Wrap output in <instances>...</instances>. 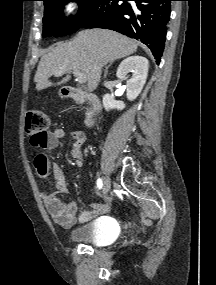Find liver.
Masks as SVG:
<instances>
[{"instance_id":"liver-1","label":"liver","mask_w":216,"mask_h":285,"mask_svg":"<svg viewBox=\"0 0 216 285\" xmlns=\"http://www.w3.org/2000/svg\"><path fill=\"white\" fill-rule=\"evenodd\" d=\"M138 44L119 33L103 29L79 32L71 41L60 43L41 58L34 77L38 91L53 85L49 81L60 70L68 73L75 69L84 73L89 91H94L101 78V69L108 62L136 52ZM70 80L67 75L58 85Z\"/></svg>"}]
</instances>
